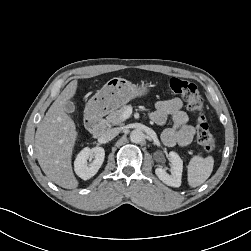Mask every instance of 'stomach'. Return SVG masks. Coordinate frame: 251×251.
Wrapping results in <instances>:
<instances>
[{"label": "stomach", "instance_id": "obj_1", "mask_svg": "<svg viewBox=\"0 0 251 251\" xmlns=\"http://www.w3.org/2000/svg\"><path fill=\"white\" fill-rule=\"evenodd\" d=\"M150 89L148 83L135 85L123 78H112L88 101L85 112L90 116L104 115L136 97L147 95Z\"/></svg>", "mask_w": 251, "mask_h": 251}]
</instances>
